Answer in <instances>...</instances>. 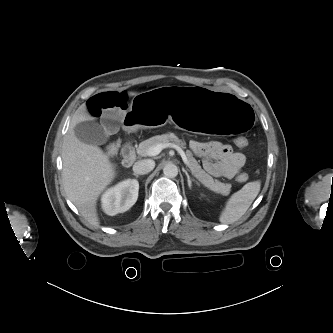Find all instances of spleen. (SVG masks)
<instances>
[{
    "mask_svg": "<svg viewBox=\"0 0 333 333\" xmlns=\"http://www.w3.org/2000/svg\"><path fill=\"white\" fill-rule=\"evenodd\" d=\"M260 188L261 182L253 181L232 194L220 214L219 221L223 224H232L239 220L259 194Z\"/></svg>",
    "mask_w": 333,
    "mask_h": 333,
    "instance_id": "1",
    "label": "spleen"
}]
</instances>
